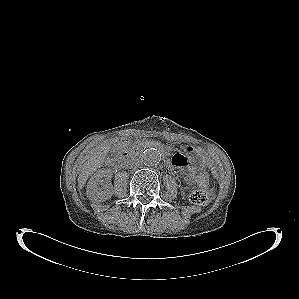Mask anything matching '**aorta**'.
<instances>
[{
    "instance_id": "obj_1",
    "label": "aorta",
    "mask_w": 299,
    "mask_h": 299,
    "mask_svg": "<svg viewBox=\"0 0 299 299\" xmlns=\"http://www.w3.org/2000/svg\"><path fill=\"white\" fill-rule=\"evenodd\" d=\"M143 162L147 165H155L161 160V153L156 148H148L142 156Z\"/></svg>"
}]
</instances>
